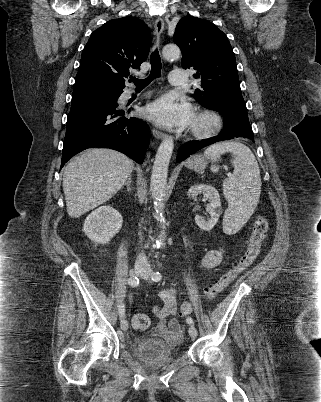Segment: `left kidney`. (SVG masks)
Returning <instances> with one entry per match:
<instances>
[{
	"label": "left kidney",
	"instance_id": "5707ae66",
	"mask_svg": "<svg viewBox=\"0 0 321 402\" xmlns=\"http://www.w3.org/2000/svg\"><path fill=\"white\" fill-rule=\"evenodd\" d=\"M201 193H203L204 197L208 199L210 202L207 208L210 217L207 220H205L203 217L197 215L195 217V222L200 229L204 231H209L218 222V219L222 214L223 209L221 207V201L218 190L215 187L206 184H197L191 186L188 190L189 197H196L198 194Z\"/></svg>",
	"mask_w": 321,
	"mask_h": 402
}]
</instances>
